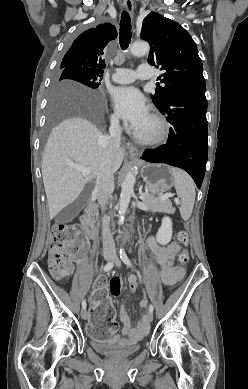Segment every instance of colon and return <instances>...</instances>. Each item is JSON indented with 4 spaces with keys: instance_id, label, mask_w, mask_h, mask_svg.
I'll use <instances>...</instances> for the list:
<instances>
[{
    "instance_id": "colon-1",
    "label": "colon",
    "mask_w": 248,
    "mask_h": 389,
    "mask_svg": "<svg viewBox=\"0 0 248 389\" xmlns=\"http://www.w3.org/2000/svg\"><path fill=\"white\" fill-rule=\"evenodd\" d=\"M178 241L188 244V233L180 231ZM85 249V241L82 231L76 226L56 224L49 239L48 266L51 274L58 280L64 279L72 270V261H81V253ZM189 262V252L184 249L179 253V263L186 266ZM109 275L102 273L100 278H96L92 283L95 296L91 297V302L95 303L90 307L93 312V320L89 326H85V333H90L95 338L96 344H107L113 339V334L118 327L116 322V312L112 306L111 297L106 296L108 291L105 285L109 284ZM130 291H139L138 281H129Z\"/></svg>"
}]
</instances>
